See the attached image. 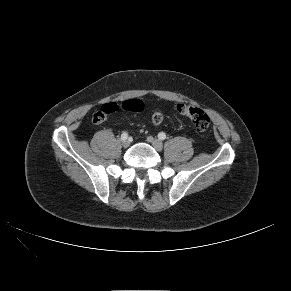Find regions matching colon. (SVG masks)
I'll use <instances>...</instances> for the list:
<instances>
[{
	"instance_id": "1",
	"label": "colon",
	"mask_w": 291,
	"mask_h": 291,
	"mask_svg": "<svg viewBox=\"0 0 291 291\" xmlns=\"http://www.w3.org/2000/svg\"><path fill=\"white\" fill-rule=\"evenodd\" d=\"M120 108L129 112H140L143 110L144 104L139 99H129L124 101L121 105L114 102L107 103L94 113L93 121L95 123H101L110 115L117 112ZM176 110L180 115L189 118L196 130L202 132L209 128L210 118L202 109L181 103L176 106ZM151 119L153 124L158 125L162 123L164 119L163 113L155 111L153 112Z\"/></svg>"
}]
</instances>
